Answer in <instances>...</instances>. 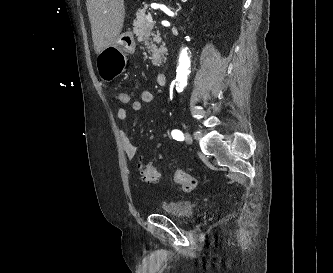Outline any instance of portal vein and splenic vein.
<instances>
[{"instance_id": "portal-vein-and-splenic-vein-1", "label": "portal vein and splenic vein", "mask_w": 333, "mask_h": 273, "mask_svg": "<svg viewBox=\"0 0 333 273\" xmlns=\"http://www.w3.org/2000/svg\"><path fill=\"white\" fill-rule=\"evenodd\" d=\"M146 21L151 25H153V23H154L151 15L146 16Z\"/></svg>"}]
</instances>
